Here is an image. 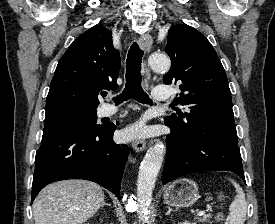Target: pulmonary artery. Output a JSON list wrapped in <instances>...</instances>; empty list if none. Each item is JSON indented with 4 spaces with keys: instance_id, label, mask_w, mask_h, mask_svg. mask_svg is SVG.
Here are the masks:
<instances>
[{
    "instance_id": "1",
    "label": "pulmonary artery",
    "mask_w": 275,
    "mask_h": 224,
    "mask_svg": "<svg viewBox=\"0 0 275 224\" xmlns=\"http://www.w3.org/2000/svg\"><path fill=\"white\" fill-rule=\"evenodd\" d=\"M153 99L156 101H168L171 97V89L167 86L155 87L152 91ZM118 112V108L108 104L104 109V114L107 116L114 115Z\"/></svg>"
}]
</instances>
